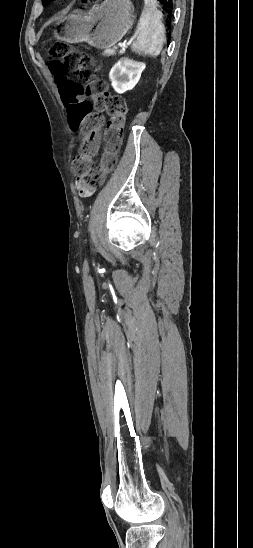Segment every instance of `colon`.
<instances>
[{"instance_id":"5ec220e1","label":"colon","mask_w":253,"mask_h":548,"mask_svg":"<svg viewBox=\"0 0 253 548\" xmlns=\"http://www.w3.org/2000/svg\"><path fill=\"white\" fill-rule=\"evenodd\" d=\"M96 2V0H84ZM49 69L59 87L62 102L67 110L70 123L75 130L84 134L78 154L73 159V170L93 187L101 186L115 169L120 150L127 105L125 99L109 92L107 84L98 77V67L86 52L64 42L54 44L49 50ZM72 72L83 84L74 83ZM90 97L92 102L88 101ZM110 119L103 134L104 148L97 166L93 158L98 152L99 136L103 126V116Z\"/></svg>"}]
</instances>
